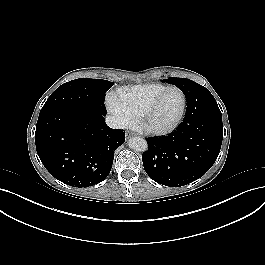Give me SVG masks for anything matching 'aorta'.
<instances>
[{"label":"aorta","mask_w":265,"mask_h":265,"mask_svg":"<svg viewBox=\"0 0 265 265\" xmlns=\"http://www.w3.org/2000/svg\"><path fill=\"white\" fill-rule=\"evenodd\" d=\"M129 148L138 151L144 152L148 150L147 141L141 137H132L128 141Z\"/></svg>","instance_id":"obj_1"}]
</instances>
